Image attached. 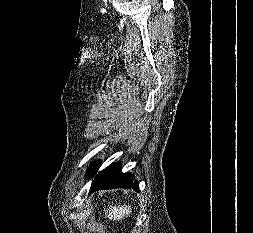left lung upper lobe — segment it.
<instances>
[{"mask_svg":"<svg viewBox=\"0 0 253 233\" xmlns=\"http://www.w3.org/2000/svg\"><path fill=\"white\" fill-rule=\"evenodd\" d=\"M94 164H95V163H94ZM94 164H91V166L88 168V171H87V176H88V175H89V173L91 172V170H92V168H93Z\"/></svg>","mask_w":253,"mask_h":233,"instance_id":"1","label":"left lung upper lobe"}]
</instances>
